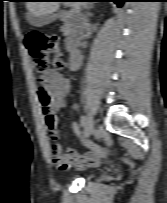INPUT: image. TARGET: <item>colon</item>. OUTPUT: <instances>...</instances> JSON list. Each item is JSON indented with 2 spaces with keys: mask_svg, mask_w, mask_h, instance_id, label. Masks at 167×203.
Here are the masks:
<instances>
[{
  "mask_svg": "<svg viewBox=\"0 0 167 203\" xmlns=\"http://www.w3.org/2000/svg\"><path fill=\"white\" fill-rule=\"evenodd\" d=\"M25 48L37 72L62 69L65 66L62 49L55 37H46L37 32L29 33L25 39ZM38 92L43 106H46L51 99L49 90L43 83H40Z\"/></svg>",
  "mask_w": 167,
  "mask_h": 203,
  "instance_id": "colon-1",
  "label": "colon"
}]
</instances>
